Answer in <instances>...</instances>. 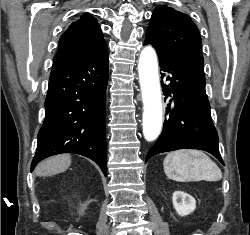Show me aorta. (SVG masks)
Here are the masks:
<instances>
[{
  "label": "aorta",
  "mask_w": 250,
  "mask_h": 235,
  "mask_svg": "<svg viewBox=\"0 0 250 235\" xmlns=\"http://www.w3.org/2000/svg\"><path fill=\"white\" fill-rule=\"evenodd\" d=\"M138 70L144 103L143 135L147 141H153L161 130L162 103L157 57L152 47L142 50Z\"/></svg>",
  "instance_id": "obj_1"
}]
</instances>
